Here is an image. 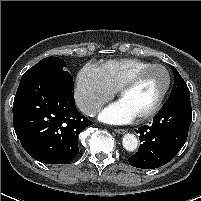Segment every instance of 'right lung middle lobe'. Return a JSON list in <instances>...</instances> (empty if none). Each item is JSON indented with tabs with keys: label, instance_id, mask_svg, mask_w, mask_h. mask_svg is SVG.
Instances as JSON below:
<instances>
[{
	"label": "right lung middle lobe",
	"instance_id": "dd1d6c3e",
	"mask_svg": "<svg viewBox=\"0 0 201 201\" xmlns=\"http://www.w3.org/2000/svg\"><path fill=\"white\" fill-rule=\"evenodd\" d=\"M64 61L58 57H46L27 70L23 76L41 74L49 77L59 78L69 84H73V77L68 71H65Z\"/></svg>",
	"mask_w": 201,
	"mask_h": 201
}]
</instances>
